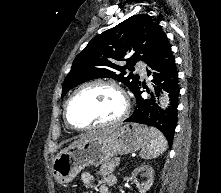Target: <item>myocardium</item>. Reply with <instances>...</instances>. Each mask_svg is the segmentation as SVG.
<instances>
[{
    "mask_svg": "<svg viewBox=\"0 0 221 193\" xmlns=\"http://www.w3.org/2000/svg\"><path fill=\"white\" fill-rule=\"evenodd\" d=\"M95 85L109 86V87H112L114 90H116L122 99V104H123L122 110L116 118L110 121L97 123V124H93V125L85 126V127L77 126L73 122H71L69 118L68 111H69L70 103L81 90L90 86H95ZM129 110H130V103H129L128 96L126 92L124 91V89L117 82L113 80H109V79H93V80H89V81L82 83L81 85H79L77 88L74 89V91L69 95V97L67 98L64 104L63 115H64L65 123L70 129L75 130V131L85 132V131H90V130H95V129H100V128L113 127L122 123L125 120V118L128 116Z\"/></svg>",
    "mask_w": 221,
    "mask_h": 193,
    "instance_id": "f54148a6",
    "label": "myocardium"
}]
</instances>
